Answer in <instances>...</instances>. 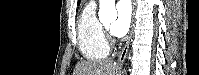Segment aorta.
<instances>
[{"mask_svg":"<svg viewBox=\"0 0 199 75\" xmlns=\"http://www.w3.org/2000/svg\"><path fill=\"white\" fill-rule=\"evenodd\" d=\"M99 5L98 15L101 22L116 20L117 11L115 9V0H100Z\"/></svg>","mask_w":199,"mask_h":75,"instance_id":"obj_1","label":"aorta"}]
</instances>
